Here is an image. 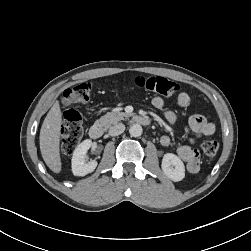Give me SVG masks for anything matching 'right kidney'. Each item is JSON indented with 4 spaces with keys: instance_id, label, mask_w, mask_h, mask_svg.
Returning a JSON list of instances; mask_svg holds the SVG:
<instances>
[{
    "instance_id": "obj_1",
    "label": "right kidney",
    "mask_w": 251,
    "mask_h": 251,
    "mask_svg": "<svg viewBox=\"0 0 251 251\" xmlns=\"http://www.w3.org/2000/svg\"><path fill=\"white\" fill-rule=\"evenodd\" d=\"M92 146L90 139L84 140L80 143L73 152L72 156V173L74 176H85L91 173L97 167V161H86V153Z\"/></svg>"
}]
</instances>
